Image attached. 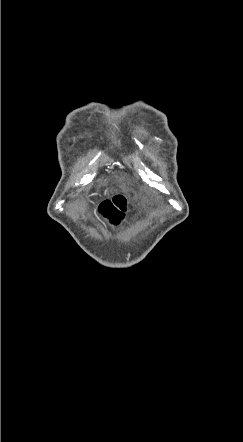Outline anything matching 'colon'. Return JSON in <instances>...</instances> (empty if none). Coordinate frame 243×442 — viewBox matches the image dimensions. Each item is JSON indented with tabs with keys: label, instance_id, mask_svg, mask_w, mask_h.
Listing matches in <instances>:
<instances>
[{
	"label": "colon",
	"instance_id": "5ec220e1",
	"mask_svg": "<svg viewBox=\"0 0 243 442\" xmlns=\"http://www.w3.org/2000/svg\"><path fill=\"white\" fill-rule=\"evenodd\" d=\"M126 208V198L123 195H115L112 199L102 202L97 211L111 225H118L124 218Z\"/></svg>",
	"mask_w": 243,
	"mask_h": 442
}]
</instances>
